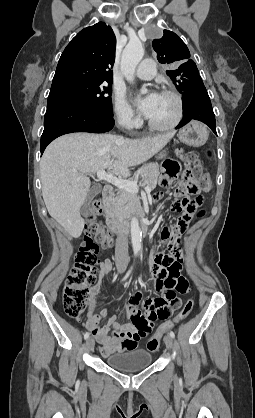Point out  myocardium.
I'll use <instances>...</instances> for the list:
<instances>
[{
    "instance_id": "myocardium-1",
    "label": "myocardium",
    "mask_w": 255,
    "mask_h": 418,
    "mask_svg": "<svg viewBox=\"0 0 255 418\" xmlns=\"http://www.w3.org/2000/svg\"><path fill=\"white\" fill-rule=\"evenodd\" d=\"M161 94L170 96L175 100L177 104L176 115L174 119L166 125L155 124L149 119H147V125L150 129L154 131L164 132V131H169V130L174 129L181 122L183 115H184V101H183L182 96L173 89H164L161 91Z\"/></svg>"
}]
</instances>
